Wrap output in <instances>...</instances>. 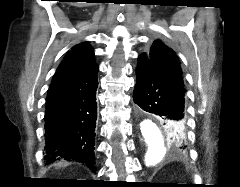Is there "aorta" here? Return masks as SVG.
I'll use <instances>...</instances> for the list:
<instances>
[{
    "mask_svg": "<svg viewBox=\"0 0 240 187\" xmlns=\"http://www.w3.org/2000/svg\"><path fill=\"white\" fill-rule=\"evenodd\" d=\"M142 137L146 144L145 163L154 166L164 157L167 144L165 137L158 126L150 119H145L140 124Z\"/></svg>",
    "mask_w": 240,
    "mask_h": 187,
    "instance_id": "1",
    "label": "aorta"
}]
</instances>
